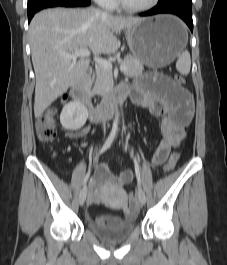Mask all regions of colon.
<instances>
[{
  "instance_id": "colon-1",
  "label": "colon",
  "mask_w": 227,
  "mask_h": 265,
  "mask_svg": "<svg viewBox=\"0 0 227 265\" xmlns=\"http://www.w3.org/2000/svg\"><path fill=\"white\" fill-rule=\"evenodd\" d=\"M174 80L176 84L183 85L185 83V78L176 74L174 76ZM55 108H48L37 116L36 119V132L39 140L44 143L52 142L55 139L56 131H55ZM179 159V153L174 152L171 154L166 164L164 165V172H171ZM129 202L132 206L136 204V196L134 194L129 195Z\"/></svg>"
}]
</instances>
